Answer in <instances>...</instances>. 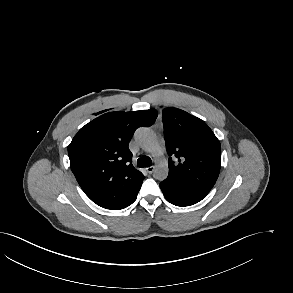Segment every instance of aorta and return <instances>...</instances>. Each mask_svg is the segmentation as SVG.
<instances>
[{
    "label": "aorta",
    "mask_w": 293,
    "mask_h": 293,
    "mask_svg": "<svg viewBox=\"0 0 293 293\" xmlns=\"http://www.w3.org/2000/svg\"><path fill=\"white\" fill-rule=\"evenodd\" d=\"M137 143L151 156L157 158L160 155L159 143L154 132L147 128L141 127L135 132ZM168 176V164L165 160H158L154 166V177L158 180H164Z\"/></svg>",
    "instance_id": "1"
}]
</instances>
